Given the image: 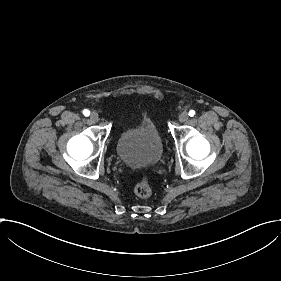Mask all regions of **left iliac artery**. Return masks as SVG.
Masks as SVG:
<instances>
[{
  "label": "left iliac artery",
  "instance_id": "44dca946",
  "mask_svg": "<svg viewBox=\"0 0 281 281\" xmlns=\"http://www.w3.org/2000/svg\"><path fill=\"white\" fill-rule=\"evenodd\" d=\"M194 115H195V111H194V110H190V111H189V116H190V117H193Z\"/></svg>",
  "mask_w": 281,
  "mask_h": 281
}]
</instances>
